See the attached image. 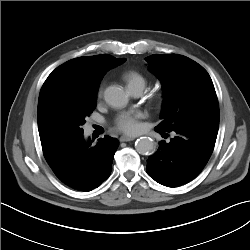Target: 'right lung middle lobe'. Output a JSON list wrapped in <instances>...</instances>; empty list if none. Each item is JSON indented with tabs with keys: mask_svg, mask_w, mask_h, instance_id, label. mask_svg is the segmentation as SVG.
<instances>
[{
	"mask_svg": "<svg viewBox=\"0 0 250 250\" xmlns=\"http://www.w3.org/2000/svg\"><path fill=\"white\" fill-rule=\"evenodd\" d=\"M96 95L82 97L58 113L51 124L48 140L83 133L85 118L93 112Z\"/></svg>",
	"mask_w": 250,
	"mask_h": 250,
	"instance_id": "dd1d6c3e",
	"label": "right lung middle lobe"
}]
</instances>
